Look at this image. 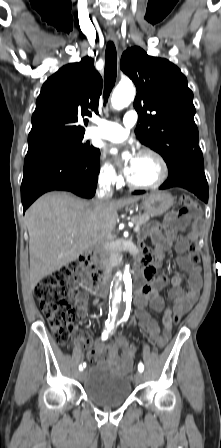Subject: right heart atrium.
<instances>
[{
	"mask_svg": "<svg viewBox=\"0 0 221 448\" xmlns=\"http://www.w3.org/2000/svg\"><path fill=\"white\" fill-rule=\"evenodd\" d=\"M120 181L121 176L115 166L109 161H103L99 168V182L105 186H116Z\"/></svg>",
	"mask_w": 221,
	"mask_h": 448,
	"instance_id": "1",
	"label": "right heart atrium"
}]
</instances>
